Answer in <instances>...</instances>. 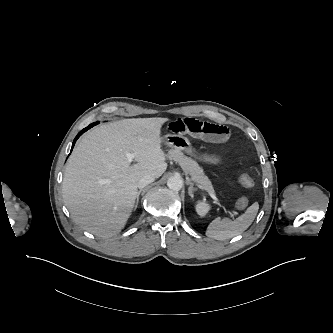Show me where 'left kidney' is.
<instances>
[{
  "label": "left kidney",
  "instance_id": "5707ae66",
  "mask_svg": "<svg viewBox=\"0 0 333 333\" xmlns=\"http://www.w3.org/2000/svg\"><path fill=\"white\" fill-rule=\"evenodd\" d=\"M210 210V205L206 202H198L196 204V211L200 217H205Z\"/></svg>",
  "mask_w": 333,
  "mask_h": 333
}]
</instances>
